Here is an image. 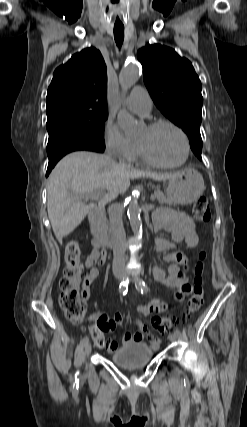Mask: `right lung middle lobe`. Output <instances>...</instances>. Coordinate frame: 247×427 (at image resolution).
Wrapping results in <instances>:
<instances>
[{"instance_id": "obj_1", "label": "right lung middle lobe", "mask_w": 247, "mask_h": 427, "mask_svg": "<svg viewBox=\"0 0 247 427\" xmlns=\"http://www.w3.org/2000/svg\"><path fill=\"white\" fill-rule=\"evenodd\" d=\"M107 107H66L47 114L48 133L74 134L105 147L103 132Z\"/></svg>"}]
</instances>
